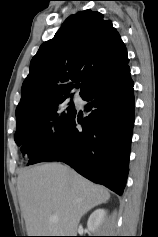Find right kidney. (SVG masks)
<instances>
[{
    "mask_svg": "<svg viewBox=\"0 0 158 237\" xmlns=\"http://www.w3.org/2000/svg\"><path fill=\"white\" fill-rule=\"evenodd\" d=\"M107 211L99 208L92 212L87 221V227L91 232H95L104 222Z\"/></svg>",
    "mask_w": 158,
    "mask_h": 237,
    "instance_id": "right-kidney-1",
    "label": "right kidney"
}]
</instances>
